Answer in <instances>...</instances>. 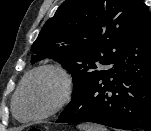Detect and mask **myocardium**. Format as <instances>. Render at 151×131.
<instances>
[{"label":"myocardium","instance_id":"1","mask_svg":"<svg viewBox=\"0 0 151 131\" xmlns=\"http://www.w3.org/2000/svg\"><path fill=\"white\" fill-rule=\"evenodd\" d=\"M42 74H52L56 76L60 83H61V93L57 101L46 111L29 116V117H22L18 111V102L20 96L22 95L25 87L27 84L36 76ZM74 92V81L72 75L62 66L57 64H45L39 67L32 69L28 72L22 79L12 102V108L14 114L19 118H24L27 120H40L45 119L50 116H53L57 112H59L62 108H64L71 100Z\"/></svg>","mask_w":151,"mask_h":131}]
</instances>
